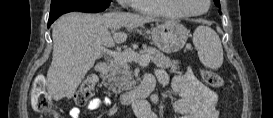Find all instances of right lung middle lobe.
I'll list each match as a JSON object with an SVG mask.
<instances>
[{"mask_svg":"<svg viewBox=\"0 0 273 118\" xmlns=\"http://www.w3.org/2000/svg\"><path fill=\"white\" fill-rule=\"evenodd\" d=\"M60 1L69 2L76 5L92 7V8H99L105 10L109 7L111 0H52V3H59Z\"/></svg>","mask_w":273,"mask_h":118,"instance_id":"1","label":"right lung middle lobe"}]
</instances>
